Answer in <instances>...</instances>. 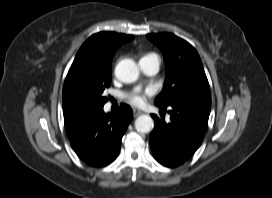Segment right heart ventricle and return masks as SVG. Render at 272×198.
<instances>
[{"label": "right heart ventricle", "mask_w": 272, "mask_h": 198, "mask_svg": "<svg viewBox=\"0 0 272 198\" xmlns=\"http://www.w3.org/2000/svg\"><path fill=\"white\" fill-rule=\"evenodd\" d=\"M154 55H155L154 53H145V54H143V56L141 58L149 57V56H154Z\"/></svg>", "instance_id": "e07e8e85"}]
</instances>
